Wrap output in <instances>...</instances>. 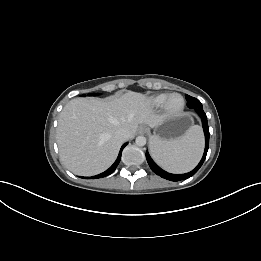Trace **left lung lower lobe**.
<instances>
[{"mask_svg":"<svg viewBox=\"0 0 261 261\" xmlns=\"http://www.w3.org/2000/svg\"><path fill=\"white\" fill-rule=\"evenodd\" d=\"M194 109L198 113V115L201 117L202 126H203V130H204V134H205V150H204L203 157H202L201 161L199 162V164L191 172L177 175V174L168 173V172L164 171L163 169H161L151 159L149 153L146 152V159H147V162H148L151 170L154 173H156L157 175L161 176L162 178H165L170 181H180V180L188 179V178L192 177L200 169V167L202 166V164L205 161L207 151L209 148V127H208V123H207V116H206L203 108H194Z\"/></svg>","mask_w":261,"mask_h":261,"instance_id":"obj_1","label":"left lung lower lobe"}]
</instances>
